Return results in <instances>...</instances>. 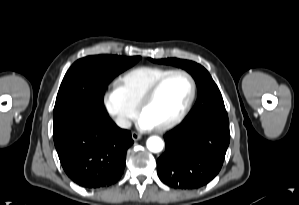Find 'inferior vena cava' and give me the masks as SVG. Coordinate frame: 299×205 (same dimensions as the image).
<instances>
[{
	"label": "inferior vena cava",
	"instance_id": "inferior-vena-cava-1",
	"mask_svg": "<svg viewBox=\"0 0 299 205\" xmlns=\"http://www.w3.org/2000/svg\"><path fill=\"white\" fill-rule=\"evenodd\" d=\"M115 122L121 128L128 129V128L131 127V121L127 118H124V117H117L115 119Z\"/></svg>",
	"mask_w": 299,
	"mask_h": 205
}]
</instances>
